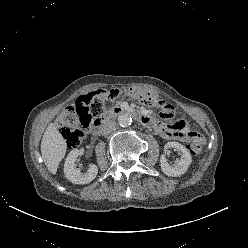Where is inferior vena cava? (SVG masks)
<instances>
[{
	"instance_id": "602c4592",
	"label": "inferior vena cava",
	"mask_w": 248,
	"mask_h": 248,
	"mask_svg": "<svg viewBox=\"0 0 248 248\" xmlns=\"http://www.w3.org/2000/svg\"><path fill=\"white\" fill-rule=\"evenodd\" d=\"M115 127H116L115 121L112 120L106 121L101 126V133L103 135H108L115 129Z\"/></svg>"
}]
</instances>
